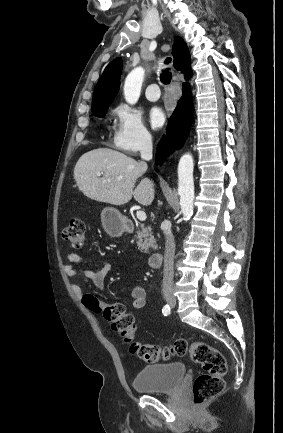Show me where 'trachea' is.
<instances>
[{"label":"trachea","instance_id":"3493384b","mask_svg":"<svg viewBox=\"0 0 283 433\" xmlns=\"http://www.w3.org/2000/svg\"><path fill=\"white\" fill-rule=\"evenodd\" d=\"M171 58L168 57L165 59L164 64L168 66V64L171 62ZM172 73L170 71V68H165L160 73V80L164 85H168L171 82Z\"/></svg>","mask_w":283,"mask_h":433}]
</instances>
